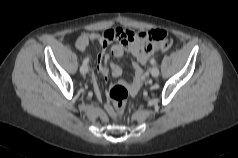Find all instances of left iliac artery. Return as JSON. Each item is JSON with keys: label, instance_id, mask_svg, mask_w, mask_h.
<instances>
[{"label": "left iliac artery", "instance_id": "1", "mask_svg": "<svg viewBox=\"0 0 238 158\" xmlns=\"http://www.w3.org/2000/svg\"><path fill=\"white\" fill-rule=\"evenodd\" d=\"M150 62H151V64H152V65L156 64V61H155V59H151V61H150Z\"/></svg>", "mask_w": 238, "mask_h": 158}]
</instances>
